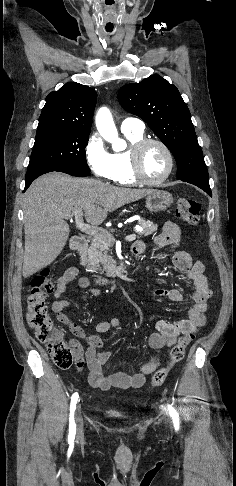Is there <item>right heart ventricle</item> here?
I'll use <instances>...</instances> for the list:
<instances>
[{"instance_id": "1", "label": "right heart ventricle", "mask_w": 236, "mask_h": 486, "mask_svg": "<svg viewBox=\"0 0 236 486\" xmlns=\"http://www.w3.org/2000/svg\"><path fill=\"white\" fill-rule=\"evenodd\" d=\"M130 143L127 150L115 152L112 155V178L115 183L120 185H136L138 182L134 178L130 163V149L133 144L144 138L143 132H123Z\"/></svg>"}]
</instances>
